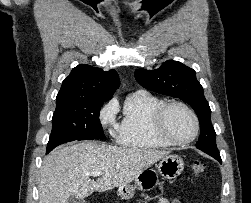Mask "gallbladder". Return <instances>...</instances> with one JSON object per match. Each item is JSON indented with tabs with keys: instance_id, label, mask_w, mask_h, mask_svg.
<instances>
[{
	"instance_id": "bac80fb5",
	"label": "gallbladder",
	"mask_w": 251,
	"mask_h": 203,
	"mask_svg": "<svg viewBox=\"0 0 251 203\" xmlns=\"http://www.w3.org/2000/svg\"><path fill=\"white\" fill-rule=\"evenodd\" d=\"M68 203H86L84 199L76 198L71 196L68 200Z\"/></svg>"
}]
</instances>
